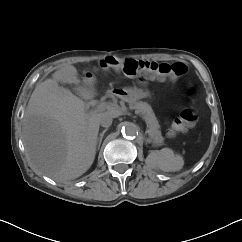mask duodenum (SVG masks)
I'll return each instance as SVG.
<instances>
[{
  "label": "duodenum",
  "mask_w": 242,
  "mask_h": 242,
  "mask_svg": "<svg viewBox=\"0 0 242 242\" xmlns=\"http://www.w3.org/2000/svg\"><path fill=\"white\" fill-rule=\"evenodd\" d=\"M107 95L110 97L112 95V93L109 92Z\"/></svg>",
  "instance_id": "1"
}]
</instances>
